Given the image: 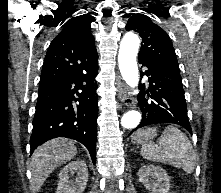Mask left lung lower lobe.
Returning <instances> with one entry per match:
<instances>
[{
    "instance_id": "1",
    "label": "left lung lower lobe",
    "mask_w": 221,
    "mask_h": 193,
    "mask_svg": "<svg viewBox=\"0 0 221 193\" xmlns=\"http://www.w3.org/2000/svg\"><path fill=\"white\" fill-rule=\"evenodd\" d=\"M138 60L147 68L141 76L149 77V88L146 91L145 85L141 86L138 104L142 120L129 135L138 128L157 123L178 124L192 133L179 70L144 58L138 57Z\"/></svg>"
}]
</instances>
